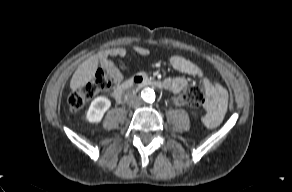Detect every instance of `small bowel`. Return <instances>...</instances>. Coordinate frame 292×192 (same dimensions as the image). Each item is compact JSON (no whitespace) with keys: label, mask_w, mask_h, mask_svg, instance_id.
<instances>
[{"label":"small bowel","mask_w":292,"mask_h":192,"mask_svg":"<svg viewBox=\"0 0 292 192\" xmlns=\"http://www.w3.org/2000/svg\"><path fill=\"white\" fill-rule=\"evenodd\" d=\"M134 51L142 56L149 54L148 49L144 47H135ZM126 55L124 48H112L107 50L100 60V66L107 70L113 78L115 88L112 92L113 97L117 100L119 90L124 83L123 75L115 67L111 58H122ZM171 66L186 75L197 77L201 80L205 91V110L203 123L207 127L217 126L223 119L228 105L227 90L217 81L208 77L204 71L194 62L180 56L174 55L170 58ZM188 83L183 77H169L164 81V88L173 93H180L187 87Z\"/></svg>","instance_id":"c3829d8e"}]
</instances>
